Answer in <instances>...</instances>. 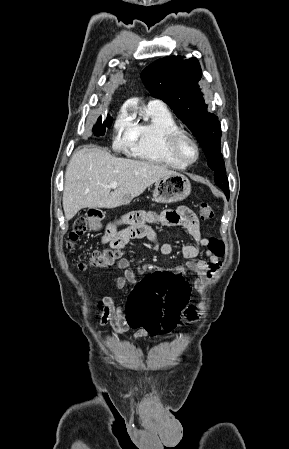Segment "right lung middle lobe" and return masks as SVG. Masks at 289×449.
<instances>
[{"mask_svg":"<svg viewBox=\"0 0 289 449\" xmlns=\"http://www.w3.org/2000/svg\"><path fill=\"white\" fill-rule=\"evenodd\" d=\"M112 117L108 116L106 121L102 123V117H99L97 120V124L93 127L94 135H104L106 127H110L112 124Z\"/></svg>","mask_w":289,"mask_h":449,"instance_id":"dd1d6c3e","label":"right lung middle lobe"}]
</instances>
